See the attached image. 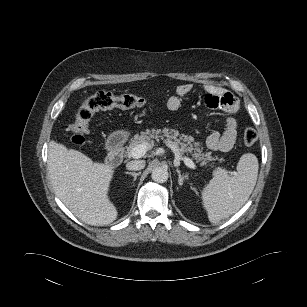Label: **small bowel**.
Returning <instances> with one entry per match:
<instances>
[{"instance_id":"c3829d8e","label":"small bowel","mask_w":307,"mask_h":307,"mask_svg":"<svg viewBox=\"0 0 307 307\" xmlns=\"http://www.w3.org/2000/svg\"><path fill=\"white\" fill-rule=\"evenodd\" d=\"M193 86L191 84H181L175 89V93L169 97L166 102V107L170 111H177L183 99L191 93ZM204 90L205 103L210 108H223L229 112H234L236 109V100L230 93L225 92L222 88L215 85H205ZM237 120L229 115L225 120V129L223 132L214 131L207 138V147L212 151L228 152L230 151L237 138Z\"/></svg>"}]
</instances>
